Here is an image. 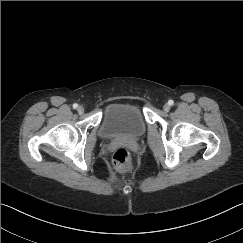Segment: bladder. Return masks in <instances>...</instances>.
Returning <instances> with one entry per match:
<instances>
[{
    "mask_svg": "<svg viewBox=\"0 0 243 243\" xmlns=\"http://www.w3.org/2000/svg\"><path fill=\"white\" fill-rule=\"evenodd\" d=\"M147 132V124L140 107L130 103L109 104L98 126L102 139L137 140Z\"/></svg>",
    "mask_w": 243,
    "mask_h": 243,
    "instance_id": "1",
    "label": "bladder"
}]
</instances>
